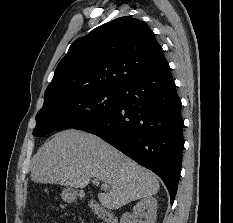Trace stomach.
<instances>
[{"instance_id": "1", "label": "stomach", "mask_w": 233, "mask_h": 223, "mask_svg": "<svg viewBox=\"0 0 233 223\" xmlns=\"http://www.w3.org/2000/svg\"><path fill=\"white\" fill-rule=\"evenodd\" d=\"M61 197L63 201H68V203H71V201H75L78 197V191L77 189H73V187H66V189H63L61 193Z\"/></svg>"}]
</instances>
